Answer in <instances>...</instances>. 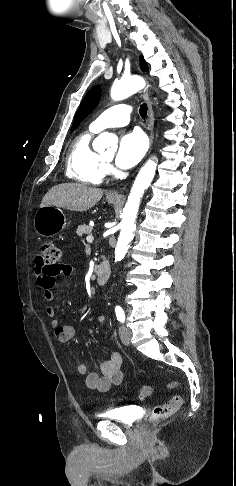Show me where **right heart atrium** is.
I'll return each instance as SVG.
<instances>
[{
	"mask_svg": "<svg viewBox=\"0 0 236 486\" xmlns=\"http://www.w3.org/2000/svg\"><path fill=\"white\" fill-rule=\"evenodd\" d=\"M111 169H112V168H111V166H110V165H105V170H106V172L111 171Z\"/></svg>",
	"mask_w": 236,
	"mask_h": 486,
	"instance_id": "obj_1",
	"label": "right heart atrium"
}]
</instances>
